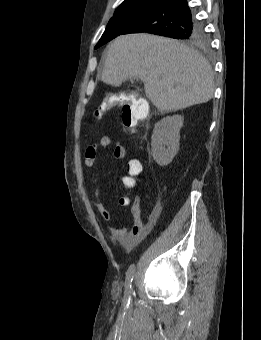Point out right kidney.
<instances>
[{"label":"right kidney","mask_w":261,"mask_h":340,"mask_svg":"<svg viewBox=\"0 0 261 340\" xmlns=\"http://www.w3.org/2000/svg\"><path fill=\"white\" fill-rule=\"evenodd\" d=\"M183 119L181 115L168 116L155 124L151 137V150L153 159L162 167L170 164L179 150Z\"/></svg>","instance_id":"obj_1"}]
</instances>
